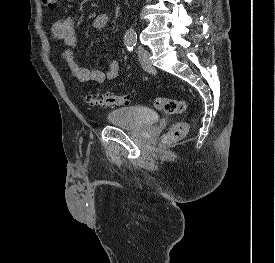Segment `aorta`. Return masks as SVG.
Returning <instances> with one entry per match:
<instances>
[{"instance_id": "aorta-1", "label": "aorta", "mask_w": 275, "mask_h": 263, "mask_svg": "<svg viewBox=\"0 0 275 263\" xmlns=\"http://www.w3.org/2000/svg\"><path fill=\"white\" fill-rule=\"evenodd\" d=\"M127 36H128V37H133V36H134V33H133L132 31H130V32L127 33Z\"/></svg>"}]
</instances>
